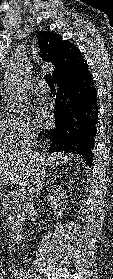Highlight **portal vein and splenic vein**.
I'll return each mask as SVG.
<instances>
[{
  "label": "portal vein and splenic vein",
  "mask_w": 113,
  "mask_h": 279,
  "mask_svg": "<svg viewBox=\"0 0 113 279\" xmlns=\"http://www.w3.org/2000/svg\"><path fill=\"white\" fill-rule=\"evenodd\" d=\"M17 194L20 196V197H23L24 196V192L22 189H17L16 190Z\"/></svg>",
  "instance_id": "obj_1"
}]
</instances>
